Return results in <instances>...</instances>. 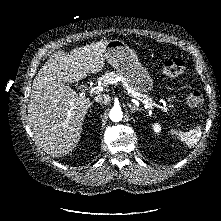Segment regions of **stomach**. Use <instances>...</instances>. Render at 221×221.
Segmentation results:
<instances>
[{"label":"stomach","mask_w":221,"mask_h":221,"mask_svg":"<svg viewBox=\"0 0 221 221\" xmlns=\"http://www.w3.org/2000/svg\"><path fill=\"white\" fill-rule=\"evenodd\" d=\"M105 60L114 67L132 90L148 93L153 88V79L140 63L136 53L121 40H111L105 46Z\"/></svg>","instance_id":"1"}]
</instances>
